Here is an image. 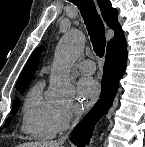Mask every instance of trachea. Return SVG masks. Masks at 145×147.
<instances>
[{
  "label": "trachea",
  "mask_w": 145,
  "mask_h": 147,
  "mask_svg": "<svg viewBox=\"0 0 145 147\" xmlns=\"http://www.w3.org/2000/svg\"><path fill=\"white\" fill-rule=\"evenodd\" d=\"M78 7L90 36L94 52L102 57L106 46L105 30L102 19L97 13L93 0H74Z\"/></svg>",
  "instance_id": "1"
}]
</instances>
